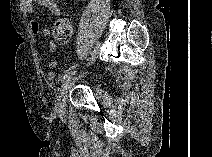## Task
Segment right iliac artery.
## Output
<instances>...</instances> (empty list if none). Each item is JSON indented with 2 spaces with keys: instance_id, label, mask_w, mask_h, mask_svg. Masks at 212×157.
<instances>
[{
  "instance_id": "82829eb1",
  "label": "right iliac artery",
  "mask_w": 212,
  "mask_h": 157,
  "mask_svg": "<svg viewBox=\"0 0 212 157\" xmlns=\"http://www.w3.org/2000/svg\"><path fill=\"white\" fill-rule=\"evenodd\" d=\"M99 49H100V42L98 41V42L96 43V45H95L94 51H93V53H92V55H91V58H90L88 64L93 63V62L97 59L98 53H99ZM72 74H73L72 71L66 72V73L64 74V76L62 77L61 82H62V83L65 82L67 79H69V78L71 77Z\"/></svg>"
}]
</instances>
